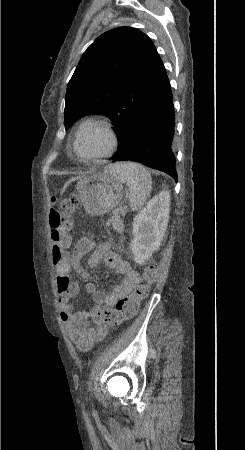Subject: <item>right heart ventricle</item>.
<instances>
[{
  "instance_id": "right-heart-ventricle-1",
  "label": "right heart ventricle",
  "mask_w": 245,
  "mask_h": 450,
  "mask_svg": "<svg viewBox=\"0 0 245 450\" xmlns=\"http://www.w3.org/2000/svg\"><path fill=\"white\" fill-rule=\"evenodd\" d=\"M89 122H90V121H84L82 124H86V123H89ZM82 124H81V125H82Z\"/></svg>"
}]
</instances>
